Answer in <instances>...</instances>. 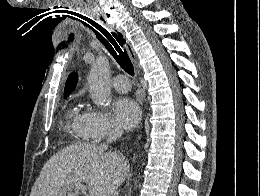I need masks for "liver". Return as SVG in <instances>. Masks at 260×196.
<instances>
[{"instance_id": "liver-1", "label": "liver", "mask_w": 260, "mask_h": 196, "mask_svg": "<svg viewBox=\"0 0 260 196\" xmlns=\"http://www.w3.org/2000/svg\"><path fill=\"white\" fill-rule=\"evenodd\" d=\"M128 168L116 152L104 154L93 144H73L53 154L37 178L30 196H77L73 184H88L89 196H113Z\"/></svg>"}]
</instances>
